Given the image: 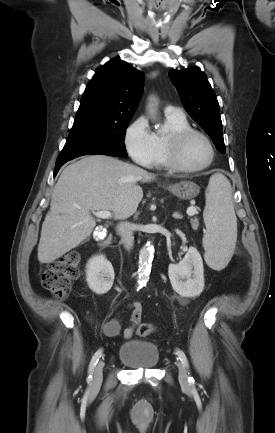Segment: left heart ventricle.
I'll return each mask as SVG.
<instances>
[{"instance_id": "left-heart-ventricle-1", "label": "left heart ventricle", "mask_w": 275, "mask_h": 433, "mask_svg": "<svg viewBox=\"0 0 275 433\" xmlns=\"http://www.w3.org/2000/svg\"><path fill=\"white\" fill-rule=\"evenodd\" d=\"M210 154L207 142L201 136L194 135L184 142L180 159L185 166L199 167L209 160Z\"/></svg>"}]
</instances>
